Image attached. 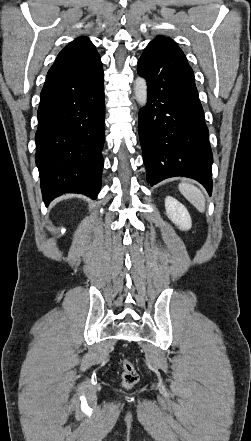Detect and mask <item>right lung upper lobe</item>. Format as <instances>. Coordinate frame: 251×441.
I'll return each mask as SVG.
<instances>
[{"instance_id":"obj_1","label":"right lung upper lobe","mask_w":251,"mask_h":441,"mask_svg":"<svg viewBox=\"0 0 251 441\" xmlns=\"http://www.w3.org/2000/svg\"><path fill=\"white\" fill-rule=\"evenodd\" d=\"M102 65L95 46L86 37L72 41L58 54L47 75H71L91 71Z\"/></svg>"}]
</instances>
